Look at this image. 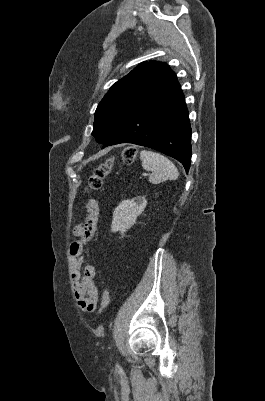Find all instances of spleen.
Instances as JSON below:
<instances>
[{"label":"spleen","mask_w":265,"mask_h":401,"mask_svg":"<svg viewBox=\"0 0 265 401\" xmlns=\"http://www.w3.org/2000/svg\"><path fill=\"white\" fill-rule=\"evenodd\" d=\"M140 158L143 168L151 170L149 180L152 184H159L163 180H176L179 176L175 164L169 158L163 156V154H159V152L141 150Z\"/></svg>","instance_id":"3e777b00"}]
</instances>
